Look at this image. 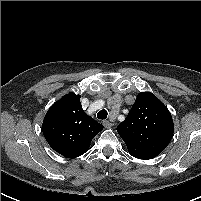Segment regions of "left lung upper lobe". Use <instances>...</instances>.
<instances>
[{
	"mask_svg": "<svg viewBox=\"0 0 201 201\" xmlns=\"http://www.w3.org/2000/svg\"><path fill=\"white\" fill-rule=\"evenodd\" d=\"M117 131L129 153L139 159L159 155L173 136V120L166 106L152 93L138 94L126 119Z\"/></svg>",
	"mask_w": 201,
	"mask_h": 201,
	"instance_id": "obj_1",
	"label": "left lung upper lobe"
}]
</instances>
